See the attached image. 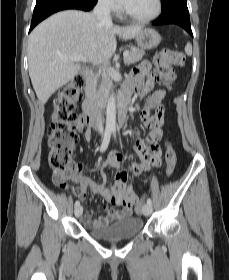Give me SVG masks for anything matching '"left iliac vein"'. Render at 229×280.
<instances>
[{
  "mask_svg": "<svg viewBox=\"0 0 229 280\" xmlns=\"http://www.w3.org/2000/svg\"><path fill=\"white\" fill-rule=\"evenodd\" d=\"M142 213L144 216H149L152 213V206L145 204L142 208Z\"/></svg>",
  "mask_w": 229,
  "mask_h": 280,
  "instance_id": "obj_1",
  "label": "left iliac vein"
}]
</instances>
